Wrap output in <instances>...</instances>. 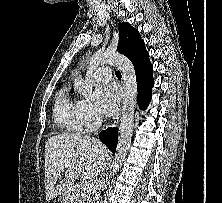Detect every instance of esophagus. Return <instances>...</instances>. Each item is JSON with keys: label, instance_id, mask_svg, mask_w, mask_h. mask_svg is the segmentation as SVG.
Instances as JSON below:
<instances>
[{"label": "esophagus", "instance_id": "obj_1", "mask_svg": "<svg viewBox=\"0 0 222 203\" xmlns=\"http://www.w3.org/2000/svg\"><path fill=\"white\" fill-rule=\"evenodd\" d=\"M122 113H123V110H122V106H121L119 111L117 112V114L110 121V126L111 127H115L119 124Z\"/></svg>", "mask_w": 222, "mask_h": 203}]
</instances>
